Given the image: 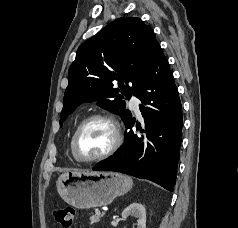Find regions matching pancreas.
I'll list each match as a JSON object with an SVG mask.
<instances>
[{
	"mask_svg": "<svg viewBox=\"0 0 238 228\" xmlns=\"http://www.w3.org/2000/svg\"><path fill=\"white\" fill-rule=\"evenodd\" d=\"M101 217H102L101 215L95 214V215H91L89 220H90L91 224H95L100 221Z\"/></svg>",
	"mask_w": 238,
	"mask_h": 228,
	"instance_id": "obj_1",
	"label": "pancreas"
}]
</instances>
